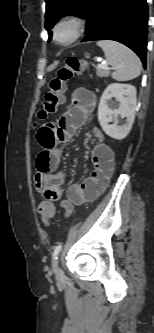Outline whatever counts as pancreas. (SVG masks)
<instances>
[{
  "label": "pancreas",
  "instance_id": "cf45deb5",
  "mask_svg": "<svg viewBox=\"0 0 154 333\" xmlns=\"http://www.w3.org/2000/svg\"><path fill=\"white\" fill-rule=\"evenodd\" d=\"M109 71L102 69V68H97L96 74L98 77H108L109 76Z\"/></svg>",
  "mask_w": 154,
  "mask_h": 333
}]
</instances>
